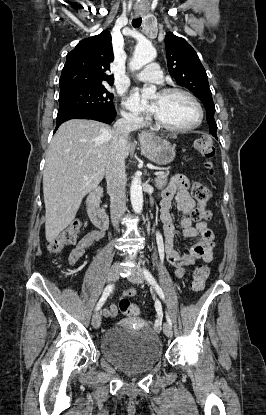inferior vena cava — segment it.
I'll return each instance as SVG.
<instances>
[{
	"label": "inferior vena cava",
	"instance_id": "1",
	"mask_svg": "<svg viewBox=\"0 0 266 415\" xmlns=\"http://www.w3.org/2000/svg\"><path fill=\"white\" fill-rule=\"evenodd\" d=\"M137 117L125 114L118 119L112 129L111 153L106 167L107 190L110 195V214L113 226L118 227L121 216L126 211L125 194V149L128 134L138 129Z\"/></svg>",
	"mask_w": 266,
	"mask_h": 415
}]
</instances>
